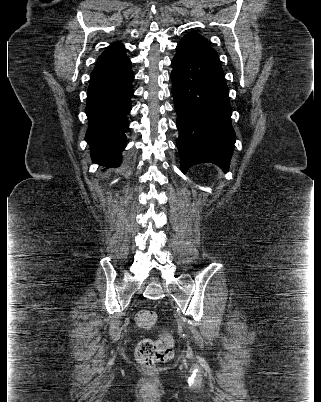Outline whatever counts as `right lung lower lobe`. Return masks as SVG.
Returning <instances> with one entry per match:
<instances>
[{
  "label": "right lung lower lobe",
  "mask_w": 321,
  "mask_h": 402,
  "mask_svg": "<svg viewBox=\"0 0 321 402\" xmlns=\"http://www.w3.org/2000/svg\"><path fill=\"white\" fill-rule=\"evenodd\" d=\"M134 79L130 64L124 66H96L90 75L86 114L88 129L85 140L91 148L93 162L117 167L121 152L127 144V114L134 94Z\"/></svg>",
  "instance_id": "obj_1"
}]
</instances>
